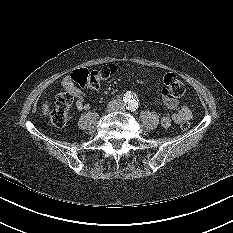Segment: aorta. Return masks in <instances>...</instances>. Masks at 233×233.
Wrapping results in <instances>:
<instances>
[{
  "instance_id": "762f6f07",
  "label": "aorta",
  "mask_w": 233,
  "mask_h": 233,
  "mask_svg": "<svg viewBox=\"0 0 233 233\" xmlns=\"http://www.w3.org/2000/svg\"><path fill=\"white\" fill-rule=\"evenodd\" d=\"M131 107H136L138 105L137 101L135 99L131 100L130 101V104H129Z\"/></svg>"
}]
</instances>
